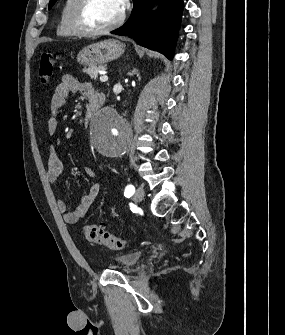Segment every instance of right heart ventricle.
<instances>
[{
	"instance_id": "1",
	"label": "right heart ventricle",
	"mask_w": 285,
	"mask_h": 335,
	"mask_svg": "<svg viewBox=\"0 0 285 335\" xmlns=\"http://www.w3.org/2000/svg\"><path fill=\"white\" fill-rule=\"evenodd\" d=\"M77 1H64L63 8L61 12V19L57 29V34L65 39H77L80 34L74 27L73 24V12L75 9ZM87 60H95L89 58Z\"/></svg>"
}]
</instances>
